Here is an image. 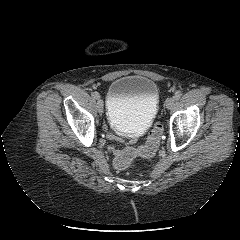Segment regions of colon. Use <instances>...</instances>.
<instances>
[{
	"label": "colon",
	"mask_w": 240,
	"mask_h": 240,
	"mask_svg": "<svg viewBox=\"0 0 240 240\" xmlns=\"http://www.w3.org/2000/svg\"><path fill=\"white\" fill-rule=\"evenodd\" d=\"M163 133V127L159 121H157L150 132L147 141L142 146H130L122 150L114 159V166L118 170L126 169L134 158L150 157L155 154L159 147L161 136Z\"/></svg>",
	"instance_id": "obj_1"
}]
</instances>
